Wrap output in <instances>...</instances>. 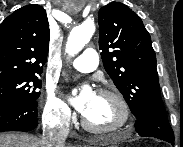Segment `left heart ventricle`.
<instances>
[{"mask_svg":"<svg viewBox=\"0 0 183 147\" xmlns=\"http://www.w3.org/2000/svg\"><path fill=\"white\" fill-rule=\"evenodd\" d=\"M94 126L110 127L121 121V109L111 97L96 94L93 101L83 114Z\"/></svg>","mask_w":183,"mask_h":147,"instance_id":"1","label":"left heart ventricle"}]
</instances>
